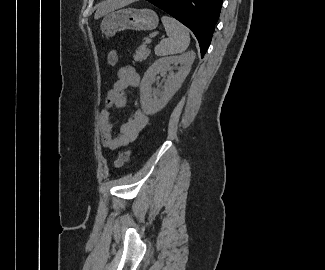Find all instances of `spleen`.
I'll return each mask as SVG.
<instances>
[{
	"label": "spleen",
	"mask_w": 325,
	"mask_h": 270,
	"mask_svg": "<svg viewBox=\"0 0 325 270\" xmlns=\"http://www.w3.org/2000/svg\"><path fill=\"white\" fill-rule=\"evenodd\" d=\"M168 38L163 39L156 47L157 56L174 55L184 52L190 43V36L187 28L176 19L163 16L161 18Z\"/></svg>",
	"instance_id": "3e777b00"
}]
</instances>
